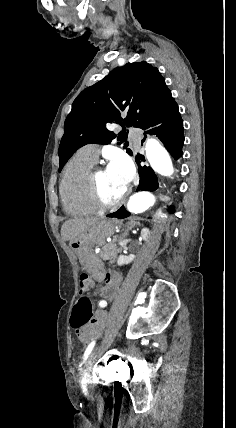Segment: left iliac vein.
Wrapping results in <instances>:
<instances>
[{
  "label": "left iliac vein",
  "instance_id": "obj_1",
  "mask_svg": "<svg viewBox=\"0 0 236 428\" xmlns=\"http://www.w3.org/2000/svg\"><path fill=\"white\" fill-rule=\"evenodd\" d=\"M113 336L111 335L109 338L105 339V344L107 345L108 343H112L113 342ZM101 350L104 348L102 345L99 347ZM101 350H96L95 352H93V354L89 357L87 364L85 366V371L86 372H91L92 369H94L96 361L98 360V356L102 354Z\"/></svg>",
  "mask_w": 236,
  "mask_h": 428
}]
</instances>
